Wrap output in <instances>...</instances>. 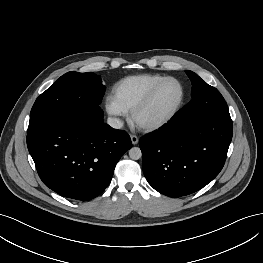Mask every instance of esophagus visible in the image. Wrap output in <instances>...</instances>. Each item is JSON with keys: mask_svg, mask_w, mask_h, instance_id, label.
<instances>
[{"mask_svg": "<svg viewBox=\"0 0 263 263\" xmlns=\"http://www.w3.org/2000/svg\"><path fill=\"white\" fill-rule=\"evenodd\" d=\"M130 138L133 145H136L139 142V139L136 135H131Z\"/></svg>", "mask_w": 263, "mask_h": 263, "instance_id": "34e87169", "label": "esophagus"}]
</instances>
